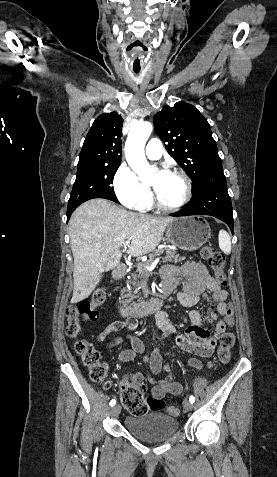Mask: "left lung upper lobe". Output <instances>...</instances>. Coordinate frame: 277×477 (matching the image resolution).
I'll use <instances>...</instances> for the list:
<instances>
[{
  "instance_id": "left-lung-upper-lobe-1",
  "label": "left lung upper lobe",
  "mask_w": 277,
  "mask_h": 477,
  "mask_svg": "<svg viewBox=\"0 0 277 477\" xmlns=\"http://www.w3.org/2000/svg\"><path fill=\"white\" fill-rule=\"evenodd\" d=\"M153 119L156 133L194 188L206 173L222 168L210 125L196 107L180 101L174 107L164 106Z\"/></svg>"
}]
</instances>
